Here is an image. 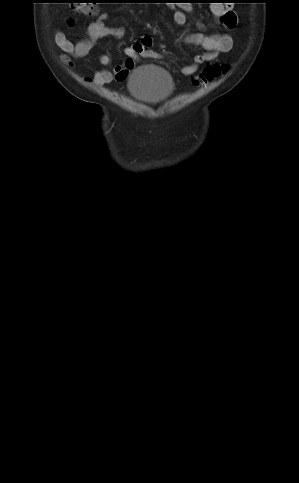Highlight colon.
<instances>
[{
	"label": "colon",
	"instance_id": "colon-1",
	"mask_svg": "<svg viewBox=\"0 0 299 483\" xmlns=\"http://www.w3.org/2000/svg\"><path fill=\"white\" fill-rule=\"evenodd\" d=\"M75 4V10L82 15H93L96 12V5L99 3L97 0H79ZM227 71L225 64L214 63L204 68L201 77L195 79V82L199 84L201 81H210L214 78L221 76Z\"/></svg>",
	"mask_w": 299,
	"mask_h": 483
}]
</instances>
